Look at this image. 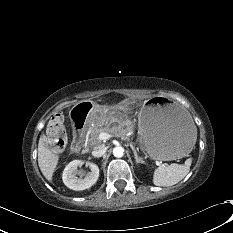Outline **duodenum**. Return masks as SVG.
<instances>
[{"instance_id":"duodenum-1","label":"duodenum","mask_w":233,"mask_h":233,"mask_svg":"<svg viewBox=\"0 0 233 233\" xmlns=\"http://www.w3.org/2000/svg\"><path fill=\"white\" fill-rule=\"evenodd\" d=\"M93 107L90 102L78 103L71 112V123L74 127L72 148L75 152H80L85 147L86 118L92 113Z\"/></svg>"}]
</instances>
